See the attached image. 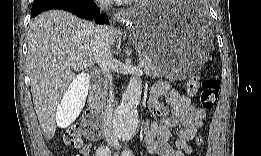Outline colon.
<instances>
[{
	"label": "colon",
	"mask_w": 261,
	"mask_h": 156,
	"mask_svg": "<svg viewBox=\"0 0 261 156\" xmlns=\"http://www.w3.org/2000/svg\"><path fill=\"white\" fill-rule=\"evenodd\" d=\"M220 89V81L217 78H207L200 81L198 75H192L187 82V91L190 95H195L199 90L200 102L204 109L211 110L215 107ZM102 134L100 127L97 124H88L85 128V135L89 138H99ZM63 143L71 148H80L83 145L82 129L73 124L69 126L63 136ZM204 139L201 135L195 139V144L198 147L203 145Z\"/></svg>",
	"instance_id": "obj_1"
}]
</instances>
